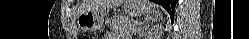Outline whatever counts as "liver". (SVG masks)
Returning <instances> with one entry per match:
<instances>
[{
    "label": "liver",
    "instance_id": "6515ba94",
    "mask_svg": "<svg viewBox=\"0 0 249 39\" xmlns=\"http://www.w3.org/2000/svg\"><path fill=\"white\" fill-rule=\"evenodd\" d=\"M124 0H84L78 10V15L97 8L109 9L120 6Z\"/></svg>",
    "mask_w": 249,
    "mask_h": 39
}]
</instances>
